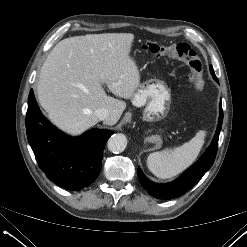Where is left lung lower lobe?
<instances>
[{"instance_id": "left-lung-lower-lobe-1", "label": "left lung lower lobe", "mask_w": 247, "mask_h": 247, "mask_svg": "<svg viewBox=\"0 0 247 247\" xmlns=\"http://www.w3.org/2000/svg\"><path fill=\"white\" fill-rule=\"evenodd\" d=\"M213 78L218 81L215 75H213ZM222 121L223 110L222 105L220 104L218 126L212 143L203 156L194 165L187 169L177 180L169 183L157 184L145 177L141 169L138 168V177L142 186L148 191V193L158 199H172L185 194L194 185H196L203 175L210 169L215 160Z\"/></svg>"}]
</instances>
